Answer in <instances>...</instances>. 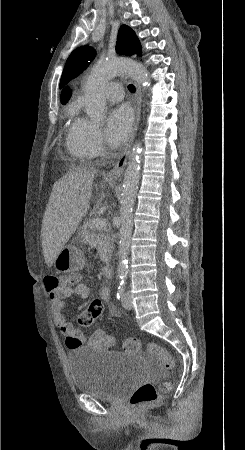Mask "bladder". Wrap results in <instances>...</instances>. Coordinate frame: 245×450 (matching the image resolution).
Here are the masks:
<instances>
[{
    "mask_svg": "<svg viewBox=\"0 0 245 450\" xmlns=\"http://www.w3.org/2000/svg\"><path fill=\"white\" fill-rule=\"evenodd\" d=\"M74 388L98 399L117 401L146 376L139 355H127L93 347H75L67 352Z\"/></svg>",
    "mask_w": 245,
    "mask_h": 450,
    "instance_id": "1",
    "label": "bladder"
}]
</instances>
